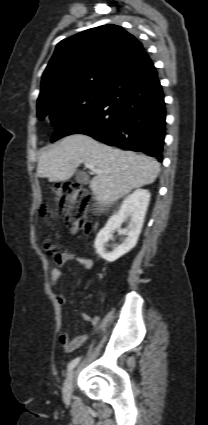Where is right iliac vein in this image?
I'll return each mask as SVG.
<instances>
[{"label":"right iliac vein","instance_id":"63e3f726","mask_svg":"<svg viewBox=\"0 0 208 425\" xmlns=\"http://www.w3.org/2000/svg\"><path fill=\"white\" fill-rule=\"evenodd\" d=\"M73 377H74V371H70V373L67 375L64 385H63V399L65 402H69L72 396L73 392Z\"/></svg>","mask_w":208,"mask_h":425}]
</instances>
